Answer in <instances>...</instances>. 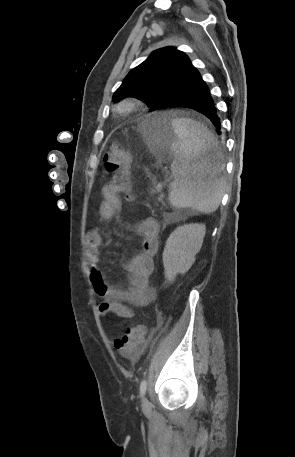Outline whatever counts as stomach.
I'll return each instance as SVG.
<instances>
[{
  "instance_id": "stomach-1",
  "label": "stomach",
  "mask_w": 295,
  "mask_h": 457,
  "mask_svg": "<svg viewBox=\"0 0 295 457\" xmlns=\"http://www.w3.org/2000/svg\"><path fill=\"white\" fill-rule=\"evenodd\" d=\"M141 132L151 147L163 145L168 151H172V144L177 142L172 120L162 116L149 115L141 124Z\"/></svg>"
}]
</instances>
